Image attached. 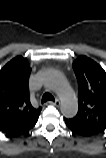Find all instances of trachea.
Here are the masks:
<instances>
[{"instance_id": "3493384b", "label": "trachea", "mask_w": 106, "mask_h": 158, "mask_svg": "<svg viewBox=\"0 0 106 158\" xmlns=\"http://www.w3.org/2000/svg\"><path fill=\"white\" fill-rule=\"evenodd\" d=\"M46 101H55L54 97L50 94V93H45L42 96V103L46 102Z\"/></svg>"}]
</instances>
